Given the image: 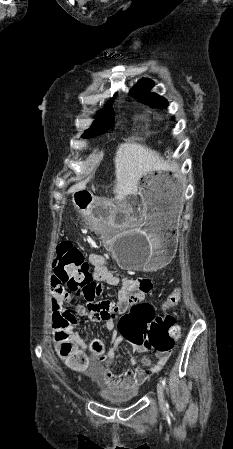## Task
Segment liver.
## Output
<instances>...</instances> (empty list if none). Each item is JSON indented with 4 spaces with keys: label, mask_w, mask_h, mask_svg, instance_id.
<instances>
[{
    "label": "liver",
    "mask_w": 233,
    "mask_h": 449,
    "mask_svg": "<svg viewBox=\"0 0 233 449\" xmlns=\"http://www.w3.org/2000/svg\"><path fill=\"white\" fill-rule=\"evenodd\" d=\"M115 185L113 192L116 199L124 200L135 195L139 189L140 179L162 166V160L157 152L136 143H122L118 146L114 158ZM90 177L75 184L69 192L86 188Z\"/></svg>",
    "instance_id": "liver-1"
}]
</instances>
